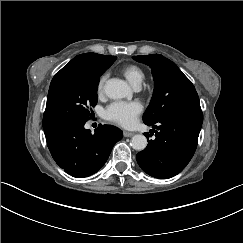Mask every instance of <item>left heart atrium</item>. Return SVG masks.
Masks as SVG:
<instances>
[{"label": "left heart atrium", "mask_w": 243, "mask_h": 243, "mask_svg": "<svg viewBox=\"0 0 243 243\" xmlns=\"http://www.w3.org/2000/svg\"><path fill=\"white\" fill-rule=\"evenodd\" d=\"M143 106L137 101H115L110 103L103 112L105 119L121 125L131 124L142 112Z\"/></svg>", "instance_id": "obj_1"}]
</instances>
